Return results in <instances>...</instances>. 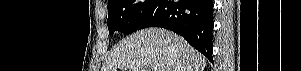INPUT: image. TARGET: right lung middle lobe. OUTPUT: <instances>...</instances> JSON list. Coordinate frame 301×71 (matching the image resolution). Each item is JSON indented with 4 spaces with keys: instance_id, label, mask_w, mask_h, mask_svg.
I'll return each mask as SVG.
<instances>
[{
    "instance_id": "right-lung-middle-lobe-1",
    "label": "right lung middle lobe",
    "mask_w": 301,
    "mask_h": 71,
    "mask_svg": "<svg viewBox=\"0 0 301 71\" xmlns=\"http://www.w3.org/2000/svg\"><path fill=\"white\" fill-rule=\"evenodd\" d=\"M157 0H109L107 25L110 33L130 34L142 28Z\"/></svg>"
}]
</instances>
